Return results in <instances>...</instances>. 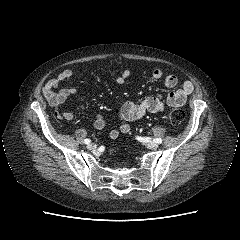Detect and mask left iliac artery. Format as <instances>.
<instances>
[{
    "label": "left iliac artery",
    "instance_id": "obj_1",
    "mask_svg": "<svg viewBox=\"0 0 240 240\" xmlns=\"http://www.w3.org/2000/svg\"><path fill=\"white\" fill-rule=\"evenodd\" d=\"M154 141H155L156 143H158V144H161V143H162V139H161V138H156V139H154Z\"/></svg>",
    "mask_w": 240,
    "mask_h": 240
}]
</instances>
